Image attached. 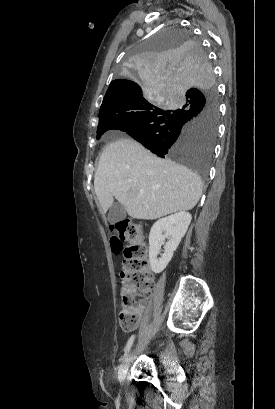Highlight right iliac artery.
Here are the masks:
<instances>
[{
	"instance_id": "82829eb1",
	"label": "right iliac artery",
	"mask_w": 275,
	"mask_h": 409,
	"mask_svg": "<svg viewBox=\"0 0 275 409\" xmlns=\"http://www.w3.org/2000/svg\"><path fill=\"white\" fill-rule=\"evenodd\" d=\"M134 340H135V335H132V336L129 338V340H128V342H127L125 348H124V356H123L122 360H124V359L126 358V356H127L128 352H129V350H130V348H131V346H132Z\"/></svg>"
}]
</instances>
